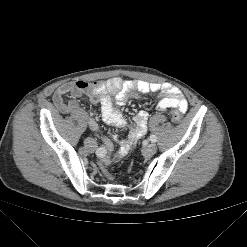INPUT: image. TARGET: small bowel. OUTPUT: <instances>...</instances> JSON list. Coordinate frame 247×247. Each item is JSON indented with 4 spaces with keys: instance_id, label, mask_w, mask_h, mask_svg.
Masks as SVG:
<instances>
[{
    "instance_id": "obj_1",
    "label": "small bowel",
    "mask_w": 247,
    "mask_h": 247,
    "mask_svg": "<svg viewBox=\"0 0 247 247\" xmlns=\"http://www.w3.org/2000/svg\"><path fill=\"white\" fill-rule=\"evenodd\" d=\"M140 93L157 94V109L168 111L176 108L181 113H185L188 103L181 91L170 84L151 83L143 80H123L118 77L110 78L107 81L98 84L96 87L90 86L85 81L67 82L59 86L53 93V103L57 110L62 114H78L80 107L75 99L64 100L65 95H71L73 98L88 95L92 105H99L103 121L112 127H124L126 122L123 116L116 110V105H122L129 99L137 98ZM148 113L146 111L138 112L134 117V128L130 132L128 140H121L117 135L103 139V143L109 152L113 149V141L119 144V150L114 156V160H119L126 156L133 142L141 137L147 128ZM89 127L97 131L99 126L93 117L88 118ZM112 162L110 156H106L102 164L109 165Z\"/></svg>"
}]
</instances>
